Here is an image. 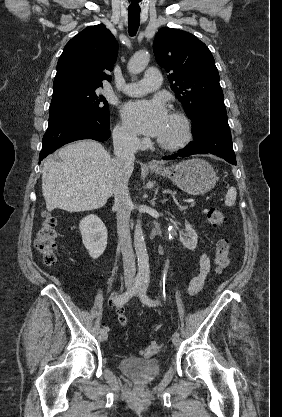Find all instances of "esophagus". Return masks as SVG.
<instances>
[{
	"label": "esophagus",
	"mask_w": 282,
	"mask_h": 417,
	"mask_svg": "<svg viewBox=\"0 0 282 417\" xmlns=\"http://www.w3.org/2000/svg\"><path fill=\"white\" fill-rule=\"evenodd\" d=\"M148 166H149V167H157V166H158V164H157V163H155L154 161H151V162H148Z\"/></svg>",
	"instance_id": "1"
}]
</instances>
